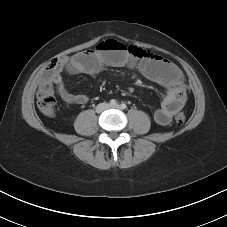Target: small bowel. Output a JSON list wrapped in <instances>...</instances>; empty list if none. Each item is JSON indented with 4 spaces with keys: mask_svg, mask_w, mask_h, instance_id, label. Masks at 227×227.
I'll list each match as a JSON object with an SVG mask.
<instances>
[{
    "mask_svg": "<svg viewBox=\"0 0 227 227\" xmlns=\"http://www.w3.org/2000/svg\"><path fill=\"white\" fill-rule=\"evenodd\" d=\"M105 66L138 67L144 77L165 88L166 95L154 113V119L159 125H168L173 115L183 108L186 101L183 75L175 64L151 53L143 58L137 57L129 51L127 45L113 39L101 42L95 49L62 57L60 64L49 73L48 79L56 86L57 94L64 101L86 104L89 97L70 93L63 84L62 74L94 75Z\"/></svg>",
    "mask_w": 227,
    "mask_h": 227,
    "instance_id": "c3829d8e",
    "label": "small bowel"
}]
</instances>
